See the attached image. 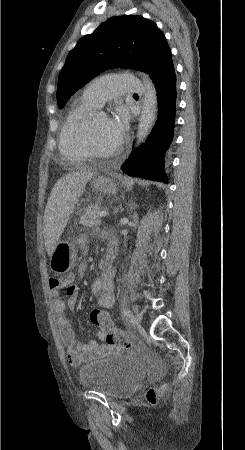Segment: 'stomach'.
Listing matches in <instances>:
<instances>
[{
	"mask_svg": "<svg viewBox=\"0 0 245 450\" xmlns=\"http://www.w3.org/2000/svg\"><path fill=\"white\" fill-rule=\"evenodd\" d=\"M92 184L98 192L115 194L117 191V183L109 177H96ZM76 261L75 247L68 241H59L51 255L50 268L57 274L66 273L74 267Z\"/></svg>",
	"mask_w": 245,
	"mask_h": 450,
	"instance_id": "0dacf381",
	"label": "stomach"
}]
</instances>
